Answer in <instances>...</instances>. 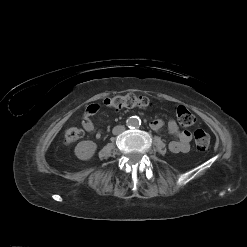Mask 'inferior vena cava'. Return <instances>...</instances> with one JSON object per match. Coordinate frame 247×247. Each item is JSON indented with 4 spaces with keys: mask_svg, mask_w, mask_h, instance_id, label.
<instances>
[{
    "mask_svg": "<svg viewBox=\"0 0 247 247\" xmlns=\"http://www.w3.org/2000/svg\"><path fill=\"white\" fill-rule=\"evenodd\" d=\"M123 131H125V127L122 125L115 126L112 130L114 135H118V134L122 133Z\"/></svg>",
    "mask_w": 247,
    "mask_h": 247,
    "instance_id": "obj_1",
    "label": "inferior vena cava"
}]
</instances>
